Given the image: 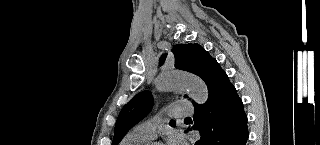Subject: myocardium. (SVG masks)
<instances>
[{"mask_svg": "<svg viewBox=\"0 0 320 145\" xmlns=\"http://www.w3.org/2000/svg\"><path fill=\"white\" fill-rule=\"evenodd\" d=\"M147 145H159L158 143L150 142Z\"/></svg>", "mask_w": 320, "mask_h": 145, "instance_id": "1", "label": "myocardium"}]
</instances>
